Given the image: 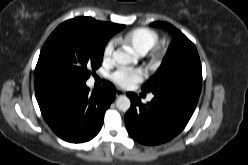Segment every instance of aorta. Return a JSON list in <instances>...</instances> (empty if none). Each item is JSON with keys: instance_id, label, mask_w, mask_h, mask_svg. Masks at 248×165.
<instances>
[{"instance_id": "aorta-1", "label": "aorta", "mask_w": 248, "mask_h": 165, "mask_svg": "<svg viewBox=\"0 0 248 165\" xmlns=\"http://www.w3.org/2000/svg\"><path fill=\"white\" fill-rule=\"evenodd\" d=\"M113 58L118 64H121V65H127L132 62L134 63L137 62V58L135 56L123 50L115 51L113 53ZM116 106L119 110L125 112L129 110L131 106L130 99L125 95H121L116 100Z\"/></svg>"}]
</instances>
